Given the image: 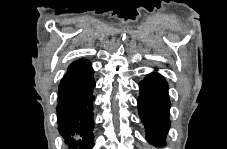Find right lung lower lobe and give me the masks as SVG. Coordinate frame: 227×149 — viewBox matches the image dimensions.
Masks as SVG:
<instances>
[{
	"label": "right lung lower lobe",
	"mask_w": 227,
	"mask_h": 149,
	"mask_svg": "<svg viewBox=\"0 0 227 149\" xmlns=\"http://www.w3.org/2000/svg\"><path fill=\"white\" fill-rule=\"evenodd\" d=\"M93 69L88 60L74 61L59 85V131L70 149H91L93 135Z\"/></svg>",
	"instance_id": "obj_1"
}]
</instances>
